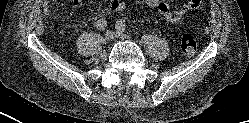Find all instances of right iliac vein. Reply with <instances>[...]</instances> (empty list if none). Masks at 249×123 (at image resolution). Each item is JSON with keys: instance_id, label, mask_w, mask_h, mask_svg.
Segmentation results:
<instances>
[{"instance_id": "63e3f726", "label": "right iliac vein", "mask_w": 249, "mask_h": 123, "mask_svg": "<svg viewBox=\"0 0 249 123\" xmlns=\"http://www.w3.org/2000/svg\"><path fill=\"white\" fill-rule=\"evenodd\" d=\"M113 39H114V33L111 32V31H107V32L105 33V40H106L107 42H110V41H112Z\"/></svg>"}]
</instances>
